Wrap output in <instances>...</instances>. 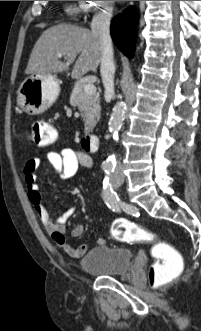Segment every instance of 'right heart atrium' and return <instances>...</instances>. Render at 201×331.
I'll list each match as a JSON object with an SVG mask.
<instances>
[{
  "instance_id": "1",
  "label": "right heart atrium",
  "mask_w": 201,
  "mask_h": 331,
  "mask_svg": "<svg viewBox=\"0 0 201 331\" xmlns=\"http://www.w3.org/2000/svg\"><path fill=\"white\" fill-rule=\"evenodd\" d=\"M86 19H100L109 16L111 1H77Z\"/></svg>"
}]
</instances>
